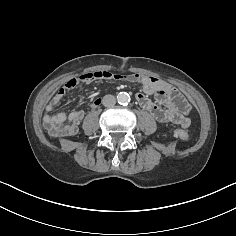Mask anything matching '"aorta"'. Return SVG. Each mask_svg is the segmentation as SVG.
<instances>
[{
  "mask_svg": "<svg viewBox=\"0 0 236 236\" xmlns=\"http://www.w3.org/2000/svg\"><path fill=\"white\" fill-rule=\"evenodd\" d=\"M117 101L121 105H127L130 102V96L126 92H120L117 95Z\"/></svg>",
  "mask_w": 236,
  "mask_h": 236,
  "instance_id": "762f6f07",
  "label": "aorta"
}]
</instances>
